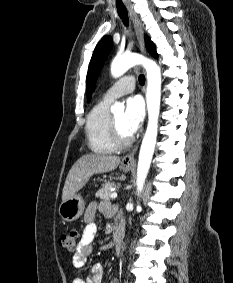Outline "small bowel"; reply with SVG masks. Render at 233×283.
I'll list each match as a JSON object with an SVG mask.
<instances>
[{"label": "small bowel", "mask_w": 233, "mask_h": 283, "mask_svg": "<svg viewBox=\"0 0 233 283\" xmlns=\"http://www.w3.org/2000/svg\"><path fill=\"white\" fill-rule=\"evenodd\" d=\"M100 212L105 216L112 215V209L107 203L91 202L85 211L84 221L85 227L83 230L82 238L78 244L77 249L73 255V266L75 268H82L87 260V257L92 253L94 248V239L97 234V225L94 222L96 214ZM103 279V267L97 263L93 265L91 273L87 280L81 277H75L72 283H102ZM110 283H117L116 279H113Z\"/></svg>", "instance_id": "obj_1"}]
</instances>
